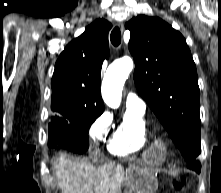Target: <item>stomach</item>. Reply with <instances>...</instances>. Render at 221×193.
Listing matches in <instances>:
<instances>
[{
	"instance_id": "obj_1",
	"label": "stomach",
	"mask_w": 221,
	"mask_h": 193,
	"mask_svg": "<svg viewBox=\"0 0 221 193\" xmlns=\"http://www.w3.org/2000/svg\"><path fill=\"white\" fill-rule=\"evenodd\" d=\"M167 155V150H146L145 162H128L129 179L126 181L123 193H152L153 182L158 179V174H153L154 167H165L162 159Z\"/></svg>"
}]
</instances>
